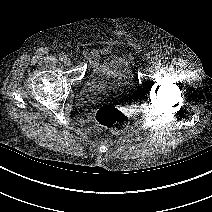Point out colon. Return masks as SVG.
I'll list each match as a JSON object with an SVG mask.
<instances>
[{"instance_id": "obj_1", "label": "colon", "mask_w": 212, "mask_h": 212, "mask_svg": "<svg viewBox=\"0 0 212 212\" xmlns=\"http://www.w3.org/2000/svg\"><path fill=\"white\" fill-rule=\"evenodd\" d=\"M96 123L112 133L123 132L129 124V117L114 107H103L95 115Z\"/></svg>"}]
</instances>
